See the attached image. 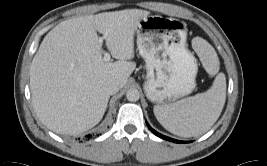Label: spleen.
Returning <instances> with one entry per match:
<instances>
[{
  "instance_id": "obj_1",
  "label": "spleen",
  "mask_w": 267,
  "mask_h": 166,
  "mask_svg": "<svg viewBox=\"0 0 267 166\" xmlns=\"http://www.w3.org/2000/svg\"><path fill=\"white\" fill-rule=\"evenodd\" d=\"M202 62L210 74L219 70V61L214 49L204 42L198 49ZM209 56L212 67L206 60ZM226 100V78L219 73L211 88L204 93L179 100L168 105H155L154 114L158 122L169 132L180 137H194L208 131L219 118Z\"/></svg>"
}]
</instances>
